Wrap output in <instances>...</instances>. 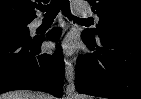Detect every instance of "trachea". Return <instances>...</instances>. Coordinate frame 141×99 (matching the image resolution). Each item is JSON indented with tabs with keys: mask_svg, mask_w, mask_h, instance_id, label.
Masks as SVG:
<instances>
[{
	"mask_svg": "<svg viewBox=\"0 0 141 99\" xmlns=\"http://www.w3.org/2000/svg\"><path fill=\"white\" fill-rule=\"evenodd\" d=\"M39 10L45 12L44 20L53 21L54 18L58 15L59 10L68 17L70 20L73 19L76 22L86 23L88 19H81L75 16H72L70 12L69 0H52L50 4L46 6H40Z\"/></svg>",
	"mask_w": 141,
	"mask_h": 99,
	"instance_id": "trachea-1",
	"label": "trachea"
}]
</instances>
